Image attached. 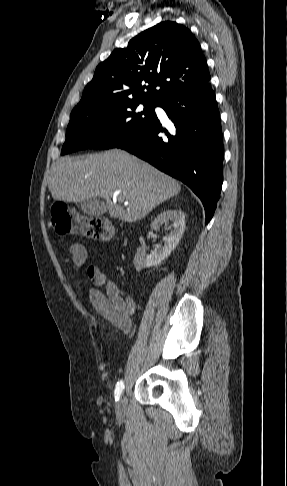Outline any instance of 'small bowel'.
I'll return each mask as SVG.
<instances>
[{
  "label": "small bowel",
  "mask_w": 287,
  "mask_h": 486,
  "mask_svg": "<svg viewBox=\"0 0 287 486\" xmlns=\"http://www.w3.org/2000/svg\"><path fill=\"white\" fill-rule=\"evenodd\" d=\"M69 253L76 267L80 268L85 264L88 257V250L85 245L73 243L69 246ZM99 283L104 285L105 292L97 288H91L88 292L93 307L116 328L124 333H130L132 329L131 316L136 310L135 300L109 277L101 275Z\"/></svg>",
  "instance_id": "small-bowel-1"
}]
</instances>
